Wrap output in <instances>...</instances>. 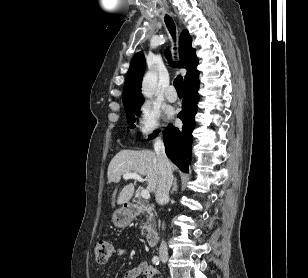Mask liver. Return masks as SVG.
Wrapping results in <instances>:
<instances>
[{"label": "liver", "instance_id": "obj_1", "mask_svg": "<svg viewBox=\"0 0 308 278\" xmlns=\"http://www.w3.org/2000/svg\"><path fill=\"white\" fill-rule=\"evenodd\" d=\"M172 170L176 167L171 164ZM133 172L145 176L146 187L155 192L160 177L156 153L151 150H121L108 166V183H118L124 173ZM134 193V184L130 183L118 193L117 204L127 203Z\"/></svg>", "mask_w": 308, "mask_h": 278}]
</instances>
